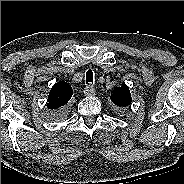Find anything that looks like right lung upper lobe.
<instances>
[{"label": "right lung upper lobe", "instance_id": "cb5924a9", "mask_svg": "<svg viewBox=\"0 0 184 184\" xmlns=\"http://www.w3.org/2000/svg\"><path fill=\"white\" fill-rule=\"evenodd\" d=\"M73 95L72 87L65 81L56 83L49 93L47 107L55 112L62 109Z\"/></svg>", "mask_w": 184, "mask_h": 184}]
</instances>
